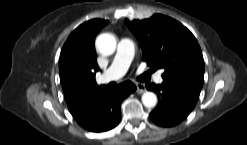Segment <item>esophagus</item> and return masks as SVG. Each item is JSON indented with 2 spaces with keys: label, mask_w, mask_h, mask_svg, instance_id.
<instances>
[{
  "label": "esophagus",
  "mask_w": 247,
  "mask_h": 145,
  "mask_svg": "<svg viewBox=\"0 0 247 145\" xmlns=\"http://www.w3.org/2000/svg\"><path fill=\"white\" fill-rule=\"evenodd\" d=\"M137 92L139 94L143 93L145 91V86L142 83H135Z\"/></svg>",
  "instance_id": "34e87169"
}]
</instances>
